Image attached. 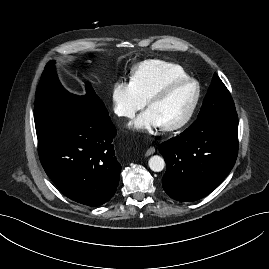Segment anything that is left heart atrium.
<instances>
[{
  "mask_svg": "<svg viewBox=\"0 0 269 269\" xmlns=\"http://www.w3.org/2000/svg\"><path fill=\"white\" fill-rule=\"evenodd\" d=\"M132 128L139 131H152L162 127L159 119L149 109L140 114L131 124Z\"/></svg>",
  "mask_w": 269,
  "mask_h": 269,
  "instance_id": "obj_1",
  "label": "left heart atrium"
}]
</instances>
